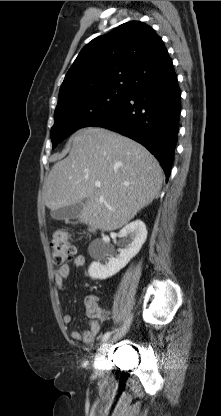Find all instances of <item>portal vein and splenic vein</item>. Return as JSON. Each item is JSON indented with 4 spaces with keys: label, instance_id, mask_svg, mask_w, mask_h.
I'll use <instances>...</instances> for the list:
<instances>
[{
    "label": "portal vein and splenic vein",
    "instance_id": "1",
    "mask_svg": "<svg viewBox=\"0 0 221 416\" xmlns=\"http://www.w3.org/2000/svg\"><path fill=\"white\" fill-rule=\"evenodd\" d=\"M95 186H96V187H100V186H101V183H100V182H96V183H95Z\"/></svg>",
    "mask_w": 221,
    "mask_h": 416
}]
</instances>
